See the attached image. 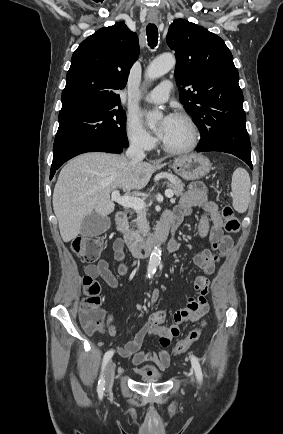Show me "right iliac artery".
<instances>
[{
    "label": "right iliac artery",
    "instance_id": "1",
    "mask_svg": "<svg viewBox=\"0 0 283 434\" xmlns=\"http://www.w3.org/2000/svg\"><path fill=\"white\" fill-rule=\"evenodd\" d=\"M113 354H114V351L109 350L105 353L104 358H103L102 372H101V375H100V378L98 381V387H97L98 394H100V395H102L104 390H105V378H104L105 368H106L108 361L113 356Z\"/></svg>",
    "mask_w": 283,
    "mask_h": 434
}]
</instances>
